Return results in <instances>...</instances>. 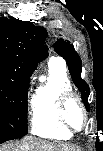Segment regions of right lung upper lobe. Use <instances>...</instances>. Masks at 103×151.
<instances>
[{
  "label": "right lung upper lobe",
  "instance_id": "1",
  "mask_svg": "<svg viewBox=\"0 0 103 151\" xmlns=\"http://www.w3.org/2000/svg\"><path fill=\"white\" fill-rule=\"evenodd\" d=\"M47 32L31 22L0 19V74L29 80L37 63L48 56Z\"/></svg>",
  "mask_w": 103,
  "mask_h": 151
}]
</instances>
